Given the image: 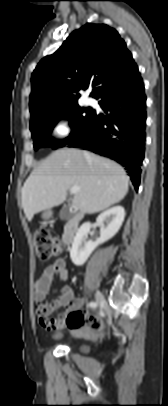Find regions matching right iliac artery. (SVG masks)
I'll list each match as a JSON object with an SVG mask.
<instances>
[{"mask_svg":"<svg viewBox=\"0 0 168 406\" xmlns=\"http://www.w3.org/2000/svg\"><path fill=\"white\" fill-rule=\"evenodd\" d=\"M88 306L94 307V306H96V304H95L94 302H90V303L88 304Z\"/></svg>","mask_w":168,"mask_h":406,"instance_id":"right-iliac-artery-1","label":"right iliac artery"}]
</instances>
